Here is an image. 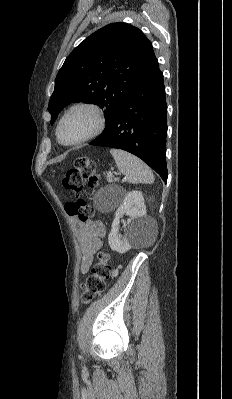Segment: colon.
I'll list each match as a JSON object with an SVG mask.
<instances>
[{
  "mask_svg": "<svg viewBox=\"0 0 232 399\" xmlns=\"http://www.w3.org/2000/svg\"><path fill=\"white\" fill-rule=\"evenodd\" d=\"M94 161L90 157L82 159L77 157L74 160V169L71 170V175H64L62 185L65 186V191H69L71 196H84L82 191V180H88L89 178L102 180V173L98 172L94 174ZM86 174V175H85ZM66 212L69 214V218H86V208H90V203H86V198H75V203H65ZM97 262L90 264L88 274L94 276L86 277V284H82V289H86L81 292V306H86V300L100 299L103 287H107V276L113 277V264H108V269L102 267L107 265V261L114 262V257L108 255L107 251H100Z\"/></svg>",
  "mask_w": 232,
  "mask_h": 399,
  "instance_id": "obj_1",
  "label": "colon"
}]
</instances>
